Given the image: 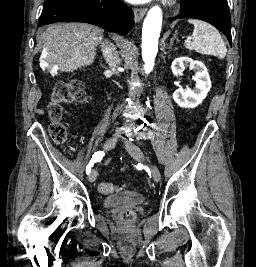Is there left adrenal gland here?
<instances>
[{
    "label": "left adrenal gland",
    "mask_w": 256,
    "mask_h": 267,
    "mask_svg": "<svg viewBox=\"0 0 256 267\" xmlns=\"http://www.w3.org/2000/svg\"><path fill=\"white\" fill-rule=\"evenodd\" d=\"M174 40H176V42H178V38H177V34L175 32V34H173L171 40H170V44H169V50H171L173 44H174Z\"/></svg>",
    "instance_id": "left-adrenal-gland-1"
}]
</instances>
